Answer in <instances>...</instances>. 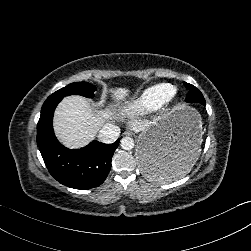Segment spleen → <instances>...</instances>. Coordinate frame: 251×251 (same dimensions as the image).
<instances>
[{
	"mask_svg": "<svg viewBox=\"0 0 251 251\" xmlns=\"http://www.w3.org/2000/svg\"><path fill=\"white\" fill-rule=\"evenodd\" d=\"M195 159H191L190 161H183L179 169L171 174L169 170L158 163L151 162L149 163V176H147L148 179L156 178V179H161L163 181H168L171 179H177L185 176L192 168L194 165Z\"/></svg>",
	"mask_w": 251,
	"mask_h": 251,
	"instance_id": "1",
	"label": "spleen"
}]
</instances>
